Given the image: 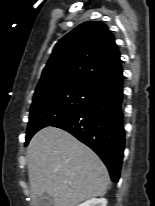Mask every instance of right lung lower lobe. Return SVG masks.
Masks as SVG:
<instances>
[{
	"instance_id": "right-lung-lower-lobe-1",
	"label": "right lung lower lobe",
	"mask_w": 155,
	"mask_h": 206,
	"mask_svg": "<svg viewBox=\"0 0 155 206\" xmlns=\"http://www.w3.org/2000/svg\"><path fill=\"white\" fill-rule=\"evenodd\" d=\"M123 81L103 91L89 105L54 124L94 150L118 182L125 147Z\"/></svg>"
}]
</instances>
